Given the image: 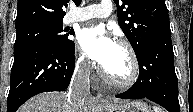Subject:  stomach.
Wrapping results in <instances>:
<instances>
[{"label": "stomach", "instance_id": "0dacf381", "mask_svg": "<svg viewBox=\"0 0 193 112\" xmlns=\"http://www.w3.org/2000/svg\"><path fill=\"white\" fill-rule=\"evenodd\" d=\"M106 112H151V109L141 101L113 100L104 105Z\"/></svg>", "mask_w": 193, "mask_h": 112}]
</instances>
